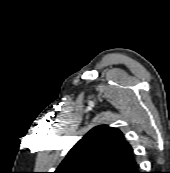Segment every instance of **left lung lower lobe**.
I'll return each mask as SVG.
<instances>
[{
  "label": "left lung lower lobe",
  "instance_id": "obj_1",
  "mask_svg": "<svg viewBox=\"0 0 170 173\" xmlns=\"http://www.w3.org/2000/svg\"><path fill=\"white\" fill-rule=\"evenodd\" d=\"M119 173H141V172H139L138 165L136 161H134L125 168H123Z\"/></svg>",
  "mask_w": 170,
  "mask_h": 173
}]
</instances>
